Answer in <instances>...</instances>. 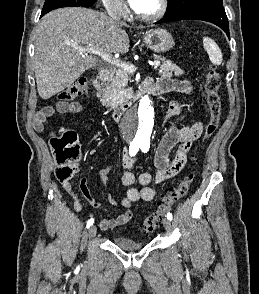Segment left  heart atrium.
<instances>
[{
    "instance_id": "1",
    "label": "left heart atrium",
    "mask_w": 259,
    "mask_h": 294,
    "mask_svg": "<svg viewBox=\"0 0 259 294\" xmlns=\"http://www.w3.org/2000/svg\"><path fill=\"white\" fill-rule=\"evenodd\" d=\"M141 2L142 0H128L130 6L135 10L140 6Z\"/></svg>"
}]
</instances>
